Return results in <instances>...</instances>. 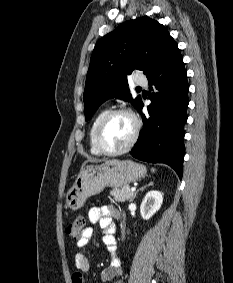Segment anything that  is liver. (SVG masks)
<instances>
[{
	"instance_id": "6515ba94",
	"label": "liver",
	"mask_w": 233,
	"mask_h": 283,
	"mask_svg": "<svg viewBox=\"0 0 233 283\" xmlns=\"http://www.w3.org/2000/svg\"><path fill=\"white\" fill-rule=\"evenodd\" d=\"M85 164H86V162L82 165V168L84 167Z\"/></svg>"
}]
</instances>
